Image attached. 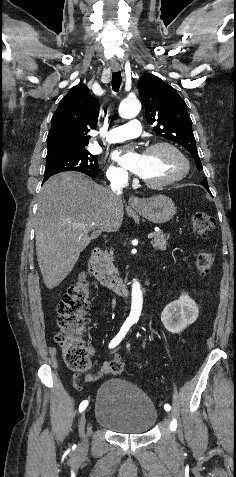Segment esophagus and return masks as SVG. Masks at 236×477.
I'll return each mask as SVG.
<instances>
[{"label":"esophagus","instance_id":"1","mask_svg":"<svg viewBox=\"0 0 236 477\" xmlns=\"http://www.w3.org/2000/svg\"><path fill=\"white\" fill-rule=\"evenodd\" d=\"M111 69L114 72H117L120 69V66L119 64H112ZM129 204L133 208H140L143 205V201L139 197L132 195L129 197Z\"/></svg>","mask_w":236,"mask_h":477}]
</instances>
